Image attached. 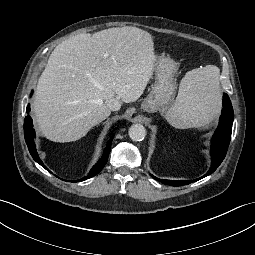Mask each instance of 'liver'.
Instances as JSON below:
<instances>
[{
    "label": "liver",
    "instance_id": "liver-1",
    "mask_svg": "<svg viewBox=\"0 0 255 255\" xmlns=\"http://www.w3.org/2000/svg\"><path fill=\"white\" fill-rule=\"evenodd\" d=\"M156 61L147 31L125 26L75 35L55 47L36 87L33 110L55 142L84 137L110 114L106 101H136Z\"/></svg>",
    "mask_w": 255,
    "mask_h": 255
}]
</instances>
